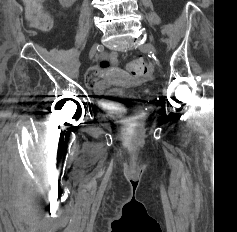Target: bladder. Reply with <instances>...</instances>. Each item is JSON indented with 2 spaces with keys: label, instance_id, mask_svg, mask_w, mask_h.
Wrapping results in <instances>:
<instances>
[{
  "label": "bladder",
  "instance_id": "obj_1",
  "mask_svg": "<svg viewBox=\"0 0 237 232\" xmlns=\"http://www.w3.org/2000/svg\"><path fill=\"white\" fill-rule=\"evenodd\" d=\"M119 91L113 90L110 93V97L104 99L100 103L101 110L105 113H118L121 111L123 102L118 99Z\"/></svg>",
  "mask_w": 237,
  "mask_h": 232
}]
</instances>
